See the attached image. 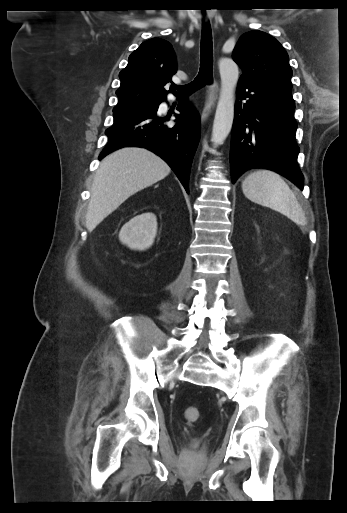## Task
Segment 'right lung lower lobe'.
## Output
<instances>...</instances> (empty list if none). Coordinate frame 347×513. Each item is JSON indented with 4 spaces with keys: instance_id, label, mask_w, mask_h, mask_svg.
<instances>
[{
    "instance_id": "right-lung-lower-lobe-1",
    "label": "right lung lower lobe",
    "mask_w": 347,
    "mask_h": 513,
    "mask_svg": "<svg viewBox=\"0 0 347 513\" xmlns=\"http://www.w3.org/2000/svg\"><path fill=\"white\" fill-rule=\"evenodd\" d=\"M161 102L150 109L114 115L112 127L105 132L109 142L99 160L122 147L146 148L168 163L188 192L191 164L200 139V118L184 100L177 107L180 114L175 115L176 124L169 126L167 116L157 115Z\"/></svg>"
}]
</instances>
